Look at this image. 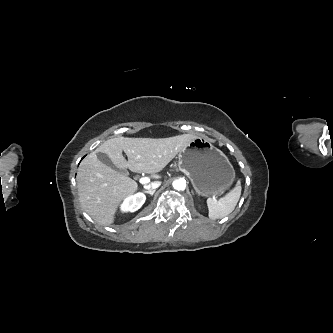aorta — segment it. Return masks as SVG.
I'll return each instance as SVG.
<instances>
[{"label": "aorta", "instance_id": "obj_1", "mask_svg": "<svg viewBox=\"0 0 333 333\" xmlns=\"http://www.w3.org/2000/svg\"><path fill=\"white\" fill-rule=\"evenodd\" d=\"M173 188L176 190H185L186 183L183 179H179L173 182Z\"/></svg>", "mask_w": 333, "mask_h": 333}]
</instances>
